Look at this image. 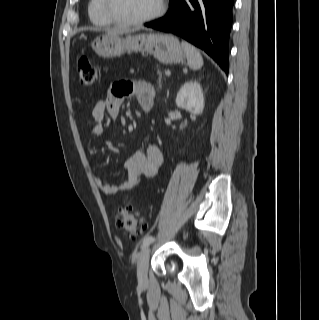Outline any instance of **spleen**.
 Instances as JSON below:
<instances>
[{
    "label": "spleen",
    "instance_id": "1",
    "mask_svg": "<svg viewBox=\"0 0 319 320\" xmlns=\"http://www.w3.org/2000/svg\"><path fill=\"white\" fill-rule=\"evenodd\" d=\"M182 48L186 54L188 65L193 70L203 66V58L198 49L186 41H182Z\"/></svg>",
    "mask_w": 319,
    "mask_h": 320
}]
</instances>
